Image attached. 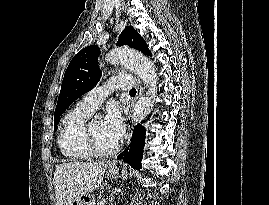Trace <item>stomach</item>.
Returning <instances> with one entry per match:
<instances>
[{
    "mask_svg": "<svg viewBox=\"0 0 269 205\" xmlns=\"http://www.w3.org/2000/svg\"><path fill=\"white\" fill-rule=\"evenodd\" d=\"M105 172L109 177H115L118 173V169L115 164L111 163L106 165ZM72 205H95V199L88 193L82 194L72 202Z\"/></svg>",
    "mask_w": 269,
    "mask_h": 205,
    "instance_id": "stomach-1",
    "label": "stomach"
}]
</instances>
